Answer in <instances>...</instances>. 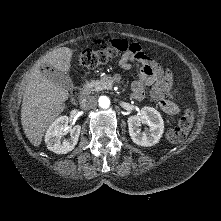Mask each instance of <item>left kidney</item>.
I'll return each instance as SVG.
<instances>
[{
    "instance_id": "5707ae66",
    "label": "left kidney",
    "mask_w": 221,
    "mask_h": 221,
    "mask_svg": "<svg viewBox=\"0 0 221 221\" xmlns=\"http://www.w3.org/2000/svg\"><path fill=\"white\" fill-rule=\"evenodd\" d=\"M127 122L132 141L140 146L155 145L164 131L163 119L160 113L152 107H143L137 115L130 116ZM141 124H147L149 130L141 131Z\"/></svg>"
}]
</instances>
